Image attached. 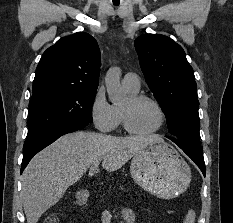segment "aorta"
Instances as JSON below:
<instances>
[{"label": "aorta", "instance_id": "1", "mask_svg": "<svg viewBox=\"0 0 233 223\" xmlns=\"http://www.w3.org/2000/svg\"><path fill=\"white\" fill-rule=\"evenodd\" d=\"M120 76V68H109L106 74L105 86L108 98L112 104H122V102L127 100L126 94L123 88H121Z\"/></svg>", "mask_w": 233, "mask_h": 223}]
</instances>
